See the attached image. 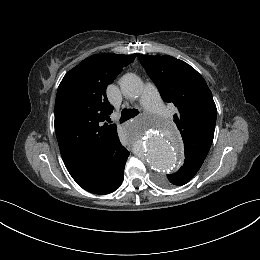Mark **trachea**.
<instances>
[{"mask_svg": "<svg viewBox=\"0 0 260 260\" xmlns=\"http://www.w3.org/2000/svg\"><path fill=\"white\" fill-rule=\"evenodd\" d=\"M139 114V111L136 109H123L121 112V118H120V123H123L130 118H133Z\"/></svg>", "mask_w": 260, "mask_h": 260, "instance_id": "trachea-1", "label": "trachea"}]
</instances>
